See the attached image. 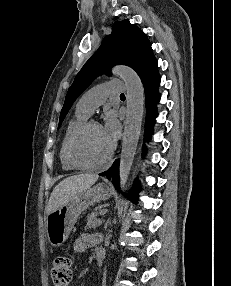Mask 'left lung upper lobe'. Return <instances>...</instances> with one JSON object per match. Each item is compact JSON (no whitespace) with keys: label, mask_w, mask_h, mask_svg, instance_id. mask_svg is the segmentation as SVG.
Returning <instances> with one entry per match:
<instances>
[{"label":"left lung upper lobe","mask_w":231,"mask_h":286,"mask_svg":"<svg viewBox=\"0 0 231 286\" xmlns=\"http://www.w3.org/2000/svg\"><path fill=\"white\" fill-rule=\"evenodd\" d=\"M155 57L151 44L144 32L128 20L117 21L110 35H107L100 48L84 64L68 90L59 120L62 121L76 98L99 75L110 74L116 64L133 68L137 74Z\"/></svg>","instance_id":"1"}]
</instances>
